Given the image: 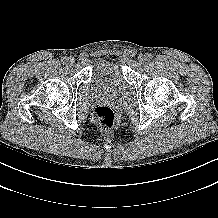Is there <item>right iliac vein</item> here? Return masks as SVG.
<instances>
[{
    "label": "right iliac vein",
    "instance_id": "right-iliac-vein-1",
    "mask_svg": "<svg viewBox=\"0 0 218 218\" xmlns=\"http://www.w3.org/2000/svg\"><path fill=\"white\" fill-rule=\"evenodd\" d=\"M68 64L73 65L75 63V59L73 57H69L67 59Z\"/></svg>",
    "mask_w": 218,
    "mask_h": 218
}]
</instances>
